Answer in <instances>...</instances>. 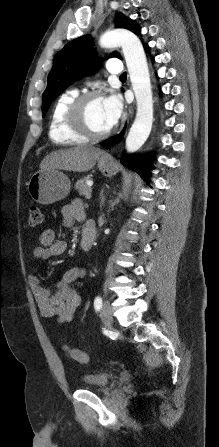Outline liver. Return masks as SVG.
I'll use <instances>...</instances> for the list:
<instances>
[{"label": "liver", "instance_id": "obj_1", "mask_svg": "<svg viewBox=\"0 0 219 447\" xmlns=\"http://www.w3.org/2000/svg\"><path fill=\"white\" fill-rule=\"evenodd\" d=\"M104 152L95 147L77 146L69 149H60L48 154L41 162V170H65L85 172L92 169L96 160Z\"/></svg>", "mask_w": 219, "mask_h": 447}]
</instances>
